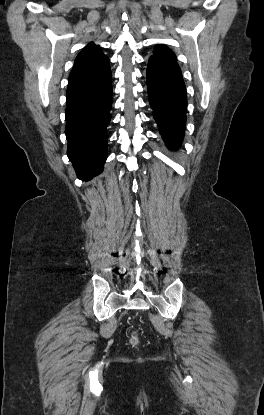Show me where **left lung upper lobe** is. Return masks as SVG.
<instances>
[{
    "label": "left lung upper lobe",
    "instance_id": "1",
    "mask_svg": "<svg viewBox=\"0 0 264 415\" xmlns=\"http://www.w3.org/2000/svg\"><path fill=\"white\" fill-rule=\"evenodd\" d=\"M155 56H160L172 60H177L176 55L167 47L159 46L154 51Z\"/></svg>",
    "mask_w": 264,
    "mask_h": 415
}]
</instances>
